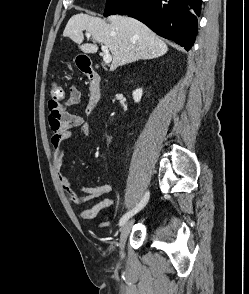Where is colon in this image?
I'll use <instances>...</instances> for the list:
<instances>
[{
  "label": "colon",
  "mask_w": 249,
  "mask_h": 294,
  "mask_svg": "<svg viewBox=\"0 0 249 294\" xmlns=\"http://www.w3.org/2000/svg\"><path fill=\"white\" fill-rule=\"evenodd\" d=\"M64 98V90L62 86L54 81L51 85V103L58 104Z\"/></svg>",
  "instance_id": "obj_1"
}]
</instances>
